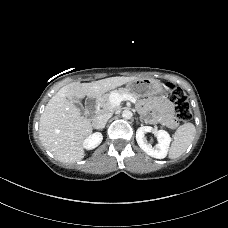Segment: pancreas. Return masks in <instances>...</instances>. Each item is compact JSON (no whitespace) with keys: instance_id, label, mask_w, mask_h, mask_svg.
Instances as JSON below:
<instances>
[{"instance_id":"obj_1","label":"pancreas","mask_w":228,"mask_h":228,"mask_svg":"<svg viewBox=\"0 0 228 228\" xmlns=\"http://www.w3.org/2000/svg\"><path fill=\"white\" fill-rule=\"evenodd\" d=\"M113 94H119V95L130 94L135 99H139V96L137 94L131 92L129 89L119 88L118 90L111 91L109 94H105L102 97L98 98L97 104L100 107H102L104 110H112L113 108H111V106H110V98Z\"/></svg>"}]
</instances>
